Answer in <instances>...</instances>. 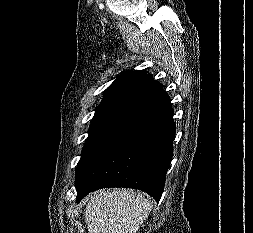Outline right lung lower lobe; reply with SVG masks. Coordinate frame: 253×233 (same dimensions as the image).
Masks as SVG:
<instances>
[{
  "label": "right lung lower lobe",
  "mask_w": 253,
  "mask_h": 233,
  "mask_svg": "<svg viewBox=\"0 0 253 233\" xmlns=\"http://www.w3.org/2000/svg\"><path fill=\"white\" fill-rule=\"evenodd\" d=\"M175 130L170 98L161 87L136 103L76 170L77 202L106 187L143 190L158 202Z\"/></svg>",
  "instance_id": "98d812e1"
}]
</instances>
